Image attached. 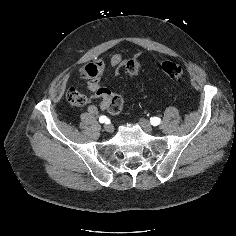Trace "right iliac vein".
Listing matches in <instances>:
<instances>
[{"label": "right iliac vein", "mask_w": 236, "mask_h": 236, "mask_svg": "<svg viewBox=\"0 0 236 236\" xmlns=\"http://www.w3.org/2000/svg\"><path fill=\"white\" fill-rule=\"evenodd\" d=\"M104 130L107 132V133H112L113 132V126L111 124H106L104 126Z\"/></svg>", "instance_id": "right-iliac-vein-1"}]
</instances>
